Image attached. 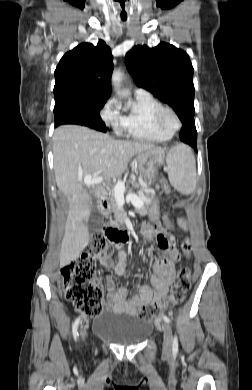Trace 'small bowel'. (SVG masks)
Segmentation results:
<instances>
[{
    "label": "small bowel",
    "instance_id": "c3829d8e",
    "mask_svg": "<svg viewBox=\"0 0 252 390\" xmlns=\"http://www.w3.org/2000/svg\"><path fill=\"white\" fill-rule=\"evenodd\" d=\"M179 225L185 227V222L181 219ZM144 235L148 238L155 235L157 244L167 252V258L156 259L154 262V277L152 289L147 283H142L138 294L127 297V290L124 287H115L114 277L109 276L106 279L109 291L108 297L104 302L107 310L117 313H127L136 315L141 308L152 306L156 303H162L164 297L169 292L170 285L174 282L176 273L174 266L180 259V253L175 247V238L173 235L166 233L158 225L147 224L144 227ZM99 264L106 269H111L115 276H122L124 268L120 264H114L110 257L99 259Z\"/></svg>",
    "mask_w": 252,
    "mask_h": 390
}]
</instances>
